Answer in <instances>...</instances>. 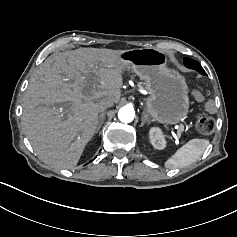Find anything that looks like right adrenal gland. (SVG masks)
Listing matches in <instances>:
<instances>
[{
  "label": "right adrenal gland",
  "mask_w": 237,
  "mask_h": 237,
  "mask_svg": "<svg viewBox=\"0 0 237 237\" xmlns=\"http://www.w3.org/2000/svg\"><path fill=\"white\" fill-rule=\"evenodd\" d=\"M105 114H106V112L104 110H102V112L99 116V126L97 127L96 132H98L100 130L102 124L104 123Z\"/></svg>",
  "instance_id": "1"
}]
</instances>
